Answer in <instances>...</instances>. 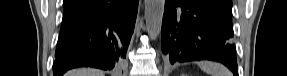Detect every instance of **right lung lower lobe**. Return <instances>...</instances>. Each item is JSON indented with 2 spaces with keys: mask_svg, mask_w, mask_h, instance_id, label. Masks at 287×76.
<instances>
[{
  "mask_svg": "<svg viewBox=\"0 0 287 76\" xmlns=\"http://www.w3.org/2000/svg\"><path fill=\"white\" fill-rule=\"evenodd\" d=\"M139 0H78L65 9L54 76L80 66L111 70L121 65L134 31Z\"/></svg>",
  "mask_w": 287,
  "mask_h": 76,
  "instance_id": "1",
  "label": "right lung lower lobe"
}]
</instances>
